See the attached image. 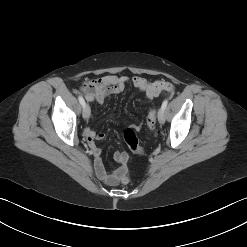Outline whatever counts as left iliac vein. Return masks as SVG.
Wrapping results in <instances>:
<instances>
[{
	"instance_id": "obj_1",
	"label": "left iliac vein",
	"mask_w": 247,
	"mask_h": 247,
	"mask_svg": "<svg viewBox=\"0 0 247 247\" xmlns=\"http://www.w3.org/2000/svg\"><path fill=\"white\" fill-rule=\"evenodd\" d=\"M158 121L160 124H164V122H165V112L163 109H160L158 111Z\"/></svg>"
}]
</instances>
